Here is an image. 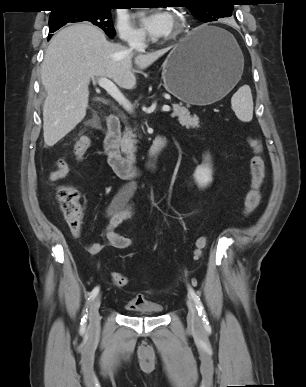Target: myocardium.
Instances as JSON below:
<instances>
[{"instance_id": "myocardium-1", "label": "myocardium", "mask_w": 306, "mask_h": 387, "mask_svg": "<svg viewBox=\"0 0 306 387\" xmlns=\"http://www.w3.org/2000/svg\"><path fill=\"white\" fill-rule=\"evenodd\" d=\"M173 18L175 20V28L173 30L171 37H176L182 32L185 19H184V15L180 11H175L173 13Z\"/></svg>"}]
</instances>
